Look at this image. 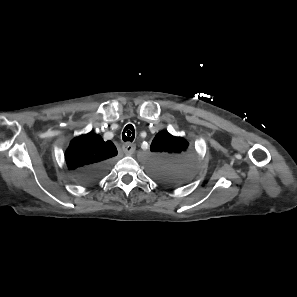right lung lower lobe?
<instances>
[{"instance_id":"obj_1","label":"right lung lower lobe","mask_w":297,"mask_h":297,"mask_svg":"<svg viewBox=\"0 0 297 297\" xmlns=\"http://www.w3.org/2000/svg\"><path fill=\"white\" fill-rule=\"evenodd\" d=\"M109 168L108 162L99 163L77 172L75 179L80 184H89L99 180Z\"/></svg>"}]
</instances>
